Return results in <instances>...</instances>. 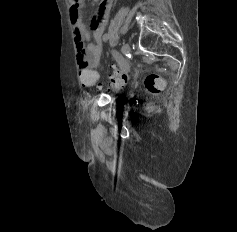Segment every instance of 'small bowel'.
<instances>
[{"mask_svg":"<svg viewBox=\"0 0 237 232\" xmlns=\"http://www.w3.org/2000/svg\"><path fill=\"white\" fill-rule=\"evenodd\" d=\"M94 1L98 2L99 6L91 22L93 29L90 33L85 27L81 15L84 0H71L70 16L74 29L77 63L80 69L99 66L102 57V36L114 2V0Z\"/></svg>","mask_w":237,"mask_h":232,"instance_id":"c3829d8e","label":"small bowel"}]
</instances>
